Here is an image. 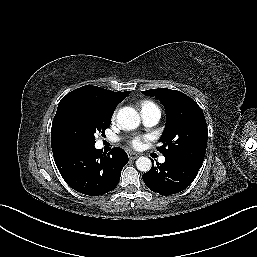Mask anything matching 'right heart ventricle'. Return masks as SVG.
<instances>
[{"mask_svg": "<svg viewBox=\"0 0 257 257\" xmlns=\"http://www.w3.org/2000/svg\"><path fill=\"white\" fill-rule=\"evenodd\" d=\"M140 111L143 112L149 109H159L158 106L151 100H143L139 103Z\"/></svg>", "mask_w": 257, "mask_h": 257, "instance_id": "1", "label": "right heart ventricle"}]
</instances>
